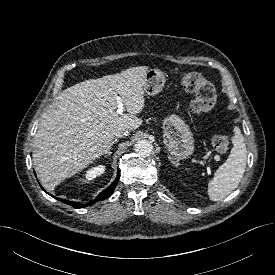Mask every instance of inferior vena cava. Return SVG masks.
Wrapping results in <instances>:
<instances>
[{
	"label": "inferior vena cava",
	"mask_w": 275,
	"mask_h": 275,
	"mask_svg": "<svg viewBox=\"0 0 275 275\" xmlns=\"http://www.w3.org/2000/svg\"><path fill=\"white\" fill-rule=\"evenodd\" d=\"M130 133L129 130H126V129H121L117 132L114 133V137H125V136H128Z\"/></svg>",
	"instance_id": "1"
}]
</instances>
